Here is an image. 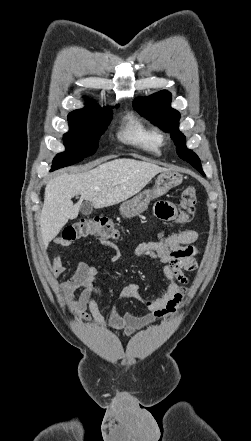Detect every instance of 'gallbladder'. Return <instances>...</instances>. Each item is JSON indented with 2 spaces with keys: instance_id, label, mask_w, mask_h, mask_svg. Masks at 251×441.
I'll return each mask as SVG.
<instances>
[{
  "instance_id": "obj_1",
  "label": "gallbladder",
  "mask_w": 251,
  "mask_h": 441,
  "mask_svg": "<svg viewBox=\"0 0 251 441\" xmlns=\"http://www.w3.org/2000/svg\"><path fill=\"white\" fill-rule=\"evenodd\" d=\"M80 211L83 215H90L93 211V205L89 201H84L80 205Z\"/></svg>"
}]
</instances>
